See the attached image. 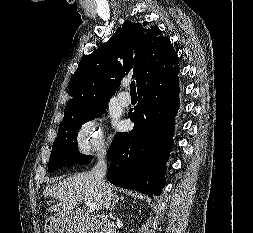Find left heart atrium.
<instances>
[{"instance_id":"left-heart-atrium-1","label":"left heart atrium","mask_w":253,"mask_h":233,"mask_svg":"<svg viewBox=\"0 0 253 233\" xmlns=\"http://www.w3.org/2000/svg\"><path fill=\"white\" fill-rule=\"evenodd\" d=\"M119 127L121 128V127H122V124H119Z\"/></svg>"}]
</instances>
